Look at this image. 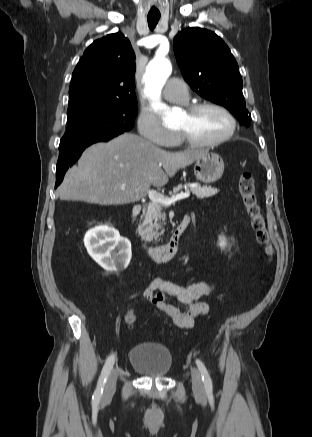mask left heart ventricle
<instances>
[{
	"mask_svg": "<svg viewBox=\"0 0 312 437\" xmlns=\"http://www.w3.org/2000/svg\"><path fill=\"white\" fill-rule=\"evenodd\" d=\"M229 121L220 111L213 108L200 110L194 115L183 113L178 119L177 129L186 131L191 137L200 140H212L224 135Z\"/></svg>",
	"mask_w": 312,
	"mask_h": 437,
	"instance_id": "left-heart-ventricle-1",
	"label": "left heart ventricle"
}]
</instances>
